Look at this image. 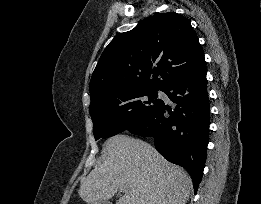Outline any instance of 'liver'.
Instances as JSON below:
<instances>
[{"label": "liver", "instance_id": "liver-1", "mask_svg": "<svg viewBox=\"0 0 261 204\" xmlns=\"http://www.w3.org/2000/svg\"><path fill=\"white\" fill-rule=\"evenodd\" d=\"M121 190L124 195L116 204H186L192 180L150 144L116 135L104 143L101 161L81 179L78 194L90 204Z\"/></svg>", "mask_w": 261, "mask_h": 204}]
</instances>
